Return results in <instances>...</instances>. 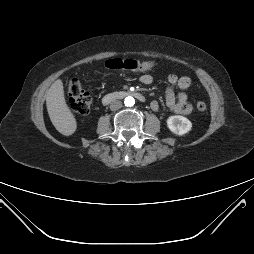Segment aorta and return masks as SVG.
Here are the masks:
<instances>
[{
  "label": "aorta",
  "mask_w": 254,
  "mask_h": 254,
  "mask_svg": "<svg viewBox=\"0 0 254 254\" xmlns=\"http://www.w3.org/2000/svg\"><path fill=\"white\" fill-rule=\"evenodd\" d=\"M124 103L126 106L131 107L135 104V99L131 96H128L124 99Z\"/></svg>",
  "instance_id": "1"
}]
</instances>
